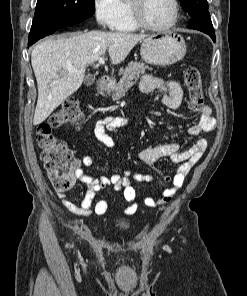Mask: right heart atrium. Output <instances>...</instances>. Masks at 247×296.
<instances>
[{"label": "right heart atrium", "mask_w": 247, "mask_h": 296, "mask_svg": "<svg viewBox=\"0 0 247 296\" xmlns=\"http://www.w3.org/2000/svg\"><path fill=\"white\" fill-rule=\"evenodd\" d=\"M93 14L102 28H114L121 18L120 0H93Z\"/></svg>", "instance_id": "d8ad5b80"}]
</instances>
